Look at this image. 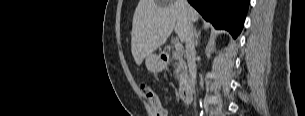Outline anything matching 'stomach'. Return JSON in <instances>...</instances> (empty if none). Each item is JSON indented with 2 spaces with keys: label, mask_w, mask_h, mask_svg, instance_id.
Segmentation results:
<instances>
[{
  "label": "stomach",
  "mask_w": 305,
  "mask_h": 116,
  "mask_svg": "<svg viewBox=\"0 0 305 116\" xmlns=\"http://www.w3.org/2000/svg\"><path fill=\"white\" fill-rule=\"evenodd\" d=\"M145 64L148 71L152 73L161 72L165 68V63L160 55L151 53L145 59Z\"/></svg>",
  "instance_id": "obj_1"
}]
</instances>
